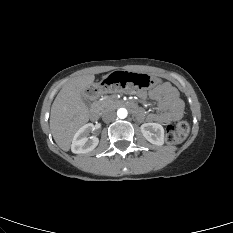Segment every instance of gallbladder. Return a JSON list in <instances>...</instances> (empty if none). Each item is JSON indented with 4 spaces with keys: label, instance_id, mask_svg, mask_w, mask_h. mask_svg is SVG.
<instances>
[{
    "label": "gallbladder",
    "instance_id": "obj_1",
    "mask_svg": "<svg viewBox=\"0 0 233 233\" xmlns=\"http://www.w3.org/2000/svg\"><path fill=\"white\" fill-rule=\"evenodd\" d=\"M82 100H83V102L85 103V105L87 106V107H90L91 106V101L88 99V98H86V97H82Z\"/></svg>",
    "mask_w": 233,
    "mask_h": 233
}]
</instances>
